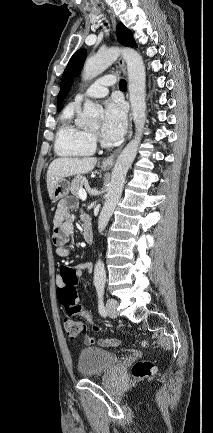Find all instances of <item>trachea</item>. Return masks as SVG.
I'll return each mask as SVG.
<instances>
[{
  "label": "trachea",
  "mask_w": 213,
  "mask_h": 433,
  "mask_svg": "<svg viewBox=\"0 0 213 433\" xmlns=\"http://www.w3.org/2000/svg\"><path fill=\"white\" fill-rule=\"evenodd\" d=\"M105 25H106V23H105ZM119 88L120 89H126L127 88V84H126V81L124 79L120 80V82H119Z\"/></svg>",
  "instance_id": "1"
}]
</instances>
